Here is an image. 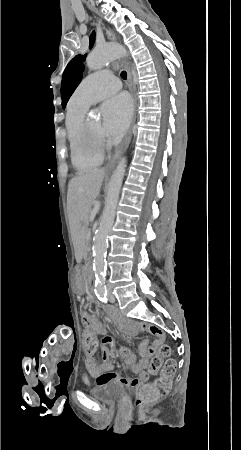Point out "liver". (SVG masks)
I'll list each match as a JSON object with an SVG mask.
<instances>
[{"label": "liver", "mask_w": 241, "mask_h": 450, "mask_svg": "<svg viewBox=\"0 0 241 450\" xmlns=\"http://www.w3.org/2000/svg\"><path fill=\"white\" fill-rule=\"evenodd\" d=\"M105 170H92L89 174H78L68 186L69 220L79 238V228L87 224L95 198L103 184Z\"/></svg>", "instance_id": "6515ba94"}]
</instances>
